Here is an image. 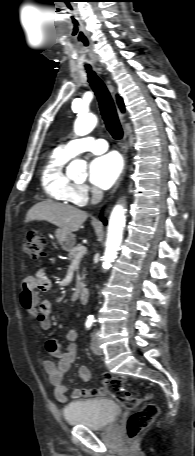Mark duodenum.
Here are the masks:
<instances>
[{"label":"duodenum","mask_w":195,"mask_h":456,"mask_svg":"<svg viewBox=\"0 0 195 456\" xmlns=\"http://www.w3.org/2000/svg\"><path fill=\"white\" fill-rule=\"evenodd\" d=\"M88 299H89V291H88V289L82 288V289L79 291V300H80L82 303H87V302H88Z\"/></svg>","instance_id":"obj_1"}]
</instances>
